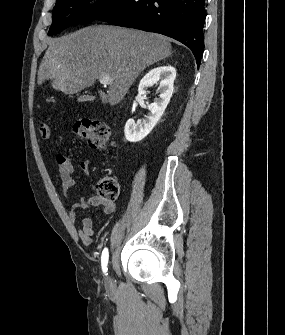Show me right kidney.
<instances>
[{"label": "right kidney", "instance_id": "right-kidney-1", "mask_svg": "<svg viewBox=\"0 0 285 335\" xmlns=\"http://www.w3.org/2000/svg\"><path fill=\"white\" fill-rule=\"evenodd\" d=\"M175 78L176 72L172 66L153 68V70H150V72L142 78L138 88L139 96L146 94L144 88H149V86H153V84H157V82L161 80L159 84V98H156L153 104H148L147 110H149V114L145 116L143 122H137V124H135L132 118L127 120L124 134L128 142H140V140H143L145 136L150 134L151 130H153L154 126L159 122L173 94Z\"/></svg>", "mask_w": 285, "mask_h": 335}]
</instances>
